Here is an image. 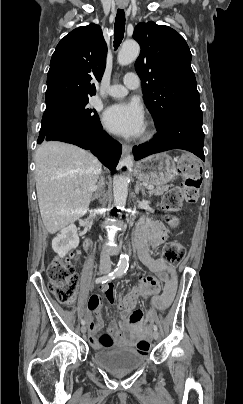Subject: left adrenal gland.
Returning a JSON list of instances; mask_svg holds the SVG:
<instances>
[{"label": "left adrenal gland", "instance_id": "1", "mask_svg": "<svg viewBox=\"0 0 243 404\" xmlns=\"http://www.w3.org/2000/svg\"><path fill=\"white\" fill-rule=\"evenodd\" d=\"M139 192H141L142 196H146L144 186H140V182H136L135 194H139Z\"/></svg>", "mask_w": 243, "mask_h": 404}]
</instances>
